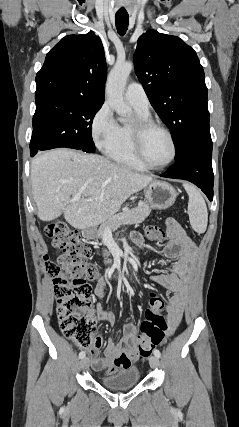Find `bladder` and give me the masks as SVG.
<instances>
[{"label":"bladder","mask_w":239,"mask_h":427,"mask_svg":"<svg viewBox=\"0 0 239 427\" xmlns=\"http://www.w3.org/2000/svg\"><path fill=\"white\" fill-rule=\"evenodd\" d=\"M139 379V370L132 367L102 376L101 383L108 389L124 390L134 387L139 382Z\"/></svg>","instance_id":"bladder-1"}]
</instances>
